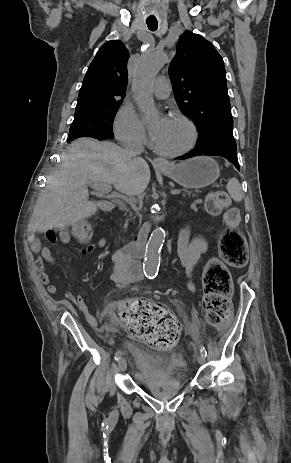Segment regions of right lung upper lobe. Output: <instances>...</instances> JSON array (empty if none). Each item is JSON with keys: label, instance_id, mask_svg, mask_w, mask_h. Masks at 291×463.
<instances>
[{"label": "right lung upper lobe", "instance_id": "obj_1", "mask_svg": "<svg viewBox=\"0 0 291 463\" xmlns=\"http://www.w3.org/2000/svg\"><path fill=\"white\" fill-rule=\"evenodd\" d=\"M129 52L119 40L108 41L91 62L79 92L75 116L110 102H121L127 87Z\"/></svg>", "mask_w": 291, "mask_h": 463}]
</instances>
